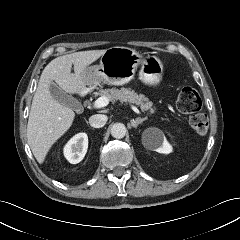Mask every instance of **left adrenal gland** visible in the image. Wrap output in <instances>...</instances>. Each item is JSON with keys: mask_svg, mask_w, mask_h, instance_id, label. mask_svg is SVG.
<instances>
[{"mask_svg": "<svg viewBox=\"0 0 240 240\" xmlns=\"http://www.w3.org/2000/svg\"><path fill=\"white\" fill-rule=\"evenodd\" d=\"M145 120H146V117H145V118H140V117H138V118H136L135 120L132 119V120H131V126L134 127V128H137L138 125L141 124V123H142L143 121H145Z\"/></svg>", "mask_w": 240, "mask_h": 240, "instance_id": "obj_1", "label": "left adrenal gland"}]
</instances>
